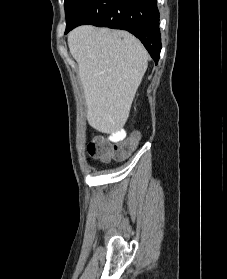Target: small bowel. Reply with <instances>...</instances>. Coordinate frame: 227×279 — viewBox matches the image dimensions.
<instances>
[{"mask_svg":"<svg viewBox=\"0 0 227 279\" xmlns=\"http://www.w3.org/2000/svg\"><path fill=\"white\" fill-rule=\"evenodd\" d=\"M127 138L124 131H118L114 133L112 136L106 137L105 140L109 143H117L123 141Z\"/></svg>","mask_w":227,"mask_h":279,"instance_id":"small-bowel-1","label":"small bowel"}]
</instances>
